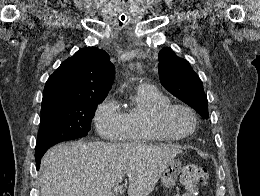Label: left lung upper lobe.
<instances>
[{
	"label": "left lung upper lobe",
	"instance_id": "left-lung-upper-lobe-1",
	"mask_svg": "<svg viewBox=\"0 0 260 196\" xmlns=\"http://www.w3.org/2000/svg\"><path fill=\"white\" fill-rule=\"evenodd\" d=\"M159 75L161 84L174 96L195 109L204 119H208V102L202 81L193 71L189 62L169 48L159 53Z\"/></svg>",
	"mask_w": 260,
	"mask_h": 196
}]
</instances>
